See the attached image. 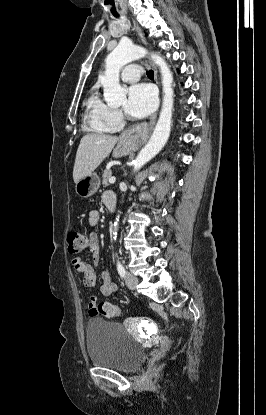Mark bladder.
<instances>
[{"instance_id": "obj_1", "label": "bladder", "mask_w": 266, "mask_h": 415, "mask_svg": "<svg viewBox=\"0 0 266 415\" xmlns=\"http://www.w3.org/2000/svg\"><path fill=\"white\" fill-rule=\"evenodd\" d=\"M86 348L92 365L123 372L136 371L146 357L145 348L121 324L99 317L87 323Z\"/></svg>"}]
</instances>
